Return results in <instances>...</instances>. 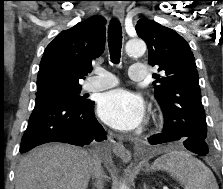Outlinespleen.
<instances>
[{
	"label": "spleen",
	"instance_id": "1",
	"mask_svg": "<svg viewBox=\"0 0 223 189\" xmlns=\"http://www.w3.org/2000/svg\"><path fill=\"white\" fill-rule=\"evenodd\" d=\"M152 169L168 172L184 189H219L212 171L184 151H169L157 158Z\"/></svg>",
	"mask_w": 223,
	"mask_h": 189
}]
</instances>
